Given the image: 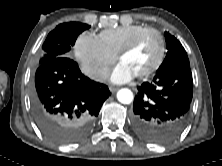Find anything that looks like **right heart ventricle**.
Segmentation results:
<instances>
[{
  "instance_id": "obj_1",
  "label": "right heart ventricle",
  "mask_w": 222,
  "mask_h": 166,
  "mask_svg": "<svg viewBox=\"0 0 222 166\" xmlns=\"http://www.w3.org/2000/svg\"><path fill=\"white\" fill-rule=\"evenodd\" d=\"M148 29L145 25H127L103 30L98 38L105 49L116 56L136 35Z\"/></svg>"
}]
</instances>
